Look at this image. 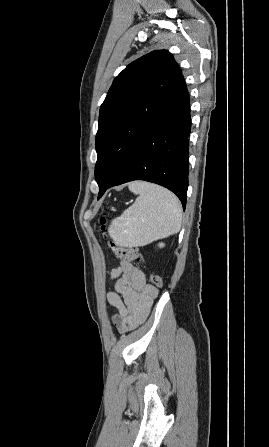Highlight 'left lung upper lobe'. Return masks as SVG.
I'll list each match as a JSON object with an SVG mask.
<instances>
[{
  "instance_id": "obj_1",
  "label": "left lung upper lobe",
  "mask_w": 269,
  "mask_h": 447,
  "mask_svg": "<svg viewBox=\"0 0 269 447\" xmlns=\"http://www.w3.org/2000/svg\"><path fill=\"white\" fill-rule=\"evenodd\" d=\"M182 73L166 50L129 64L113 81L101 105L95 146L99 187L121 173L145 133L165 114Z\"/></svg>"
}]
</instances>
